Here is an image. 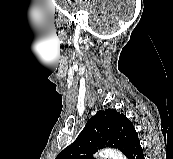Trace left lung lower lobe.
Listing matches in <instances>:
<instances>
[{"label": "left lung lower lobe", "mask_w": 173, "mask_h": 159, "mask_svg": "<svg viewBox=\"0 0 173 159\" xmlns=\"http://www.w3.org/2000/svg\"><path fill=\"white\" fill-rule=\"evenodd\" d=\"M128 159H144V154L140 143L136 144L127 155Z\"/></svg>", "instance_id": "1"}]
</instances>
